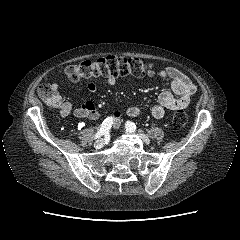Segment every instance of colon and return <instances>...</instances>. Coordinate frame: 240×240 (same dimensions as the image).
<instances>
[{
    "instance_id": "colon-1",
    "label": "colon",
    "mask_w": 240,
    "mask_h": 240,
    "mask_svg": "<svg viewBox=\"0 0 240 240\" xmlns=\"http://www.w3.org/2000/svg\"><path fill=\"white\" fill-rule=\"evenodd\" d=\"M154 67L150 63H145L138 58H126L117 56H107L96 61H84L78 65L69 66L65 70L67 79L72 83H79L98 77H123V76H152ZM38 93L43 101L51 108H59L61 97L52 84L43 83ZM187 114L182 110H177L172 114V123L176 127H183L187 123Z\"/></svg>"
}]
</instances>
